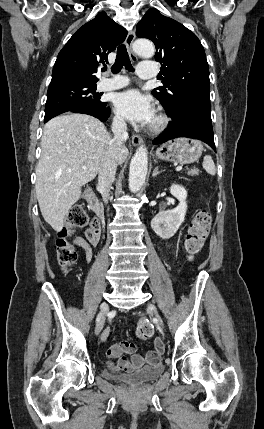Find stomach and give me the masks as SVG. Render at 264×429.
<instances>
[{
    "instance_id": "0dacf381",
    "label": "stomach",
    "mask_w": 264,
    "mask_h": 429,
    "mask_svg": "<svg viewBox=\"0 0 264 429\" xmlns=\"http://www.w3.org/2000/svg\"><path fill=\"white\" fill-rule=\"evenodd\" d=\"M203 146L199 140L190 138H176L162 144L156 150V157L178 163H193L202 154Z\"/></svg>"
}]
</instances>
